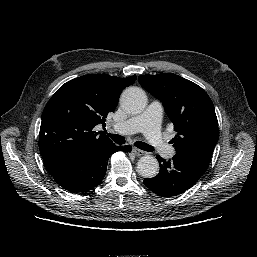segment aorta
<instances>
[{
  "instance_id": "762f6f07",
  "label": "aorta",
  "mask_w": 257,
  "mask_h": 257,
  "mask_svg": "<svg viewBox=\"0 0 257 257\" xmlns=\"http://www.w3.org/2000/svg\"><path fill=\"white\" fill-rule=\"evenodd\" d=\"M121 107L130 114L141 113L147 105V96L145 92L138 87L127 88L120 97ZM137 171L144 178H153L159 172L158 160L146 155L137 162Z\"/></svg>"
}]
</instances>
